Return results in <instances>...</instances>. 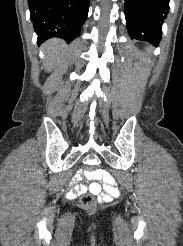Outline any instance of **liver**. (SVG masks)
Listing matches in <instances>:
<instances>
[{
	"mask_svg": "<svg viewBox=\"0 0 183 246\" xmlns=\"http://www.w3.org/2000/svg\"><path fill=\"white\" fill-rule=\"evenodd\" d=\"M66 49L67 46L65 42L56 38L51 39L44 44V67L47 72L52 71V69L64 60Z\"/></svg>",
	"mask_w": 183,
	"mask_h": 246,
	"instance_id": "obj_1",
	"label": "liver"
}]
</instances>
